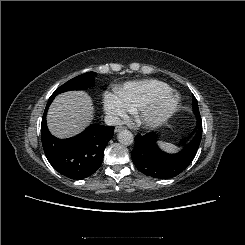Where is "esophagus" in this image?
Listing matches in <instances>:
<instances>
[{"label": "esophagus", "instance_id": "esophagus-1", "mask_svg": "<svg viewBox=\"0 0 245 245\" xmlns=\"http://www.w3.org/2000/svg\"><path fill=\"white\" fill-rule=\"evenodd\" d=\"M124 129H126L124 126H116L115 132H119V131L124 130Z\"/></svg>", "mask_w": 245, "mask_h": 245}]
</instances>
